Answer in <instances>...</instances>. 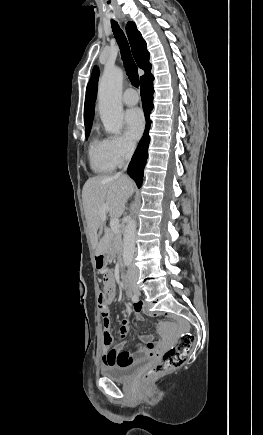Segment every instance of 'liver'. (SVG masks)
<instances>
[{
    "instance_id": "6515ba94",
    "label": "liver",
    "mask_w": 263,
    "mask_h": 435,
    "mask_svg": "<svg viewBox=\"0 0 263 435\" xmlns=\"http://www.w3.org/2000/svg\"><path fill=\"white\" fill-rule=\"evenodd\" d=\"M133 189V181L124 175L95 176L84 184L82 200L89 238L95 255L106 254L113 238V233L105 226V220L101 219L102 206H108L111 217H121ZM102 226H104V235L98 239L97 232Z\"/></svg>"
}]
</instances>
